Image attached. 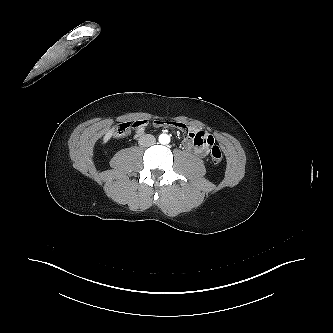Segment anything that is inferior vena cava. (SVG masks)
Wrapping results in <instances>:
<instances>
[{
  "label": "inferior vena cava",
  "mask_w": 333,
  "mask_h": 333,
  "mask_svg": "<svg viewBox=\"0 0 333 333\" xmlns=\"http://www.w3.org/2000/svg\"><path fill=\"white\" fill-rule=\"evenodd\" d=\"M156 142V139L153 135L151 134H145L139 138V145L142 147H149L154 145Z\"/></svg>",
  "instance_id": "1"
}]
</instances>
